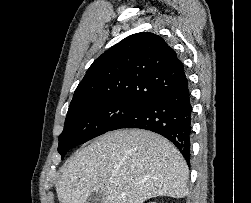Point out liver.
Masks as SVG:
<instances>
[{
    "label": "liver",
    "instance_id": "1",
    "mask_svg": "<svg viewBox=\"0 0 251 203\" xmlns=\"http://www.w3.org/2000/svg\"><path fill=\"white\" fill-rule=\"evenodd\" d=\"M188 166L166 138L146 130L108 132L75 152L56 184L60 203H86L101 192L104 203H143L158 196L184 198Z\"/></svg>",
    "mask_w": 251,
    "mask_h": 203
}]
</instances>
